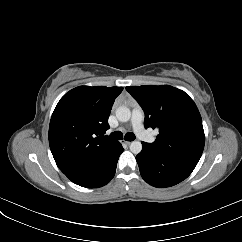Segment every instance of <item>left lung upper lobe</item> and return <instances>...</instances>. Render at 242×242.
I'll return each instance as SVG.
<instances>
[{"mask_svg": "<svg viewBox=\"0 0 242 242\" xmlns=\"http://www.w3.org/2000/svg\"><path fill=\"white\" fill-rule=\"evenodd\" d=\"M126 90L145 112V128L159 134L150 146L163 154L198 162L205 143L202 119L194 101L169 85L129 86Z\"/></svg>", "mask_w": 242, "mask_h": 242, "instance_id": "1", "label": "left lung upper lobe"}]
</instances>
